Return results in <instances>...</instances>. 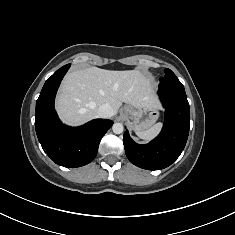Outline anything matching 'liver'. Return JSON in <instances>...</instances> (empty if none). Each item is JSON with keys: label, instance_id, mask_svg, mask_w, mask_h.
I'll list each match as a JSON object with an SVG mask.
<instances>
[{"label": "liver", "instance_id": "1", "mask_svg": "<svg viewBox=\"0 0 235 235\" xmlns=\"http://www.w3.org/2000/svg\"><path fill=\"white\" fill-rule=\"evenodd\" d=\"M123 102L134 107H158L150 79L138 70L89 67L65 76L56 109L64 123L77 126L97 118V110L103 104L110 105L115 115Z\"/></svg>", "mask_w": 235, "mask_h": 235}]
</instances>
